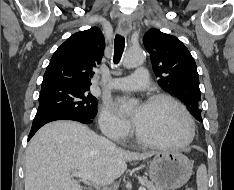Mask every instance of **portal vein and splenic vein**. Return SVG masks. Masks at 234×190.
Wrapping results in <instances>:
<instances>
[{
    "label": "portal vein and splenic vein",
    "mask_w": 234,
    "mask_h": 190,
    "mask_svg": "<svg viewBox=\"0 0 234 190\" xmlns=\"http://www.w3.org/2000/svg\"><path fill=\"white\" fill-rule=\"evenodd\" d=\"M73 176H76V177H79L83 180H88L92 183H95V184H101L100 180L97 179L93 173L91 172H87V171H79V172H73L72 173ZM138 190H146L145 187H139Z\"/></svg>",
    "instance_id": "portal-vein-and-splenic-vein-1"
}]
</instances>
